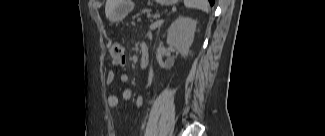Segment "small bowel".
Listing matches in <instances>:
<instances>
[{
  "label": "small bowel",
  "instance_id": "1",
  "mask_svg": "<svg viewBox=\"0 0 325 136\" xmlns=\"http://www.w3.org/2000/svg\"><path fill=\"white\" fill-rule=\"evenodd\" d=\"M115 65H123L124 64V61L123 62H114ZM116 79V73L114 71H108L107 74H106V83L108 85L112 84L114 82V80ZM119 81L123 84H126L129 82V75L127 73H121L119 75ZM133 97V94H132V91L129 90V89H126L123 91L122 93V98L126 101H129L131 100ZM119 103V99L116 95H109L108 98H107V104L109 107L111 108H114L118 105ZM144 103V99L142 96H137L134 100V104L136 107H141Z\"/></svg>",
  "mask_w": 325,
  "mask_h": 136
}]
</instances>
